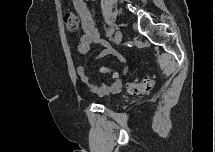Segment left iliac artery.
<instances>
[{"label": "left iliac artery", "mask_w": 215, "mask_h": 152, "mask_svg": "<svg viewBox=\"0 0 215 152\" xmlns=\"http://www.w3.org/2000/svg\"><path fill=\"white\" fill-rule=\"evenodd\" d=\"M113 32H114V29H113V28H109V29L107 30V32H106V36H107V37H110V36L113 34Z\"/></svg>", "instance_id": "obj_1"}]
</instances>
